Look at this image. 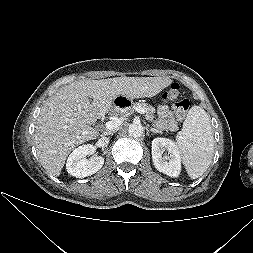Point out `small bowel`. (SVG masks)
<instances>
[{"label": "small bowel", "instance_id": "small-bowel-1", "mask_svg": "<svg viewBox=\"0 0 253 253\" xmlns=\"http://www.w3.org/2000/svg\"><path fill=\"white\" fill-rule=\"evenodd\" d=\"M175 106L172 110L167 105H159L157 126L174 132L178 129L177 118L175 116Z\"/></svg>", "mask_w": 253, "mask_h": 253}]
</instances>
